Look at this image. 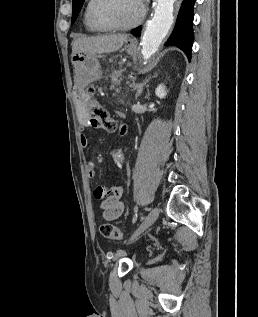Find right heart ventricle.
I'll use <instances>...</instances> for the list:
<instances>
[{"label":"right heart ventricle","mask_w":258,"mask_h":317,"mask_svg":"<svg viewBox=\"0 0 258 317\" xmlns=\"http://www.w3.org/2000/svg\"><path fill=\"white\" fill-rule=\"evenodd\" d=\"M94 0H88L86 2V5H85V10H84V24H85V27L86 29L89 31V32H92V33H97V32H102L103 30L97 28L90 20L89 18V10H90V6L92 4Z\"/></svg>","instance_id":"1"}]
</instances>
